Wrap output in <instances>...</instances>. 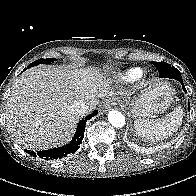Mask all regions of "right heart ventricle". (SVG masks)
I'll return each instance as SVG.
<instances>
[{
  "mask_svg": "<svg viewBox=\"0 0 196 196\" xmlns=\"http://www.w3.org/2000/svg\"><path fill=\"white\" fill-rule=\"evenodd\" d=\"M143 75V71L139 68H130L125 71L114 74L113 78L121 82H134L140 79Z\"/></svg>",
  "mask_w": 196,
  "mask_h": 196,
  "instance_id": "right-heart-ventricle-1",
  "label": "right heart ventricle"
}]
</instances>
